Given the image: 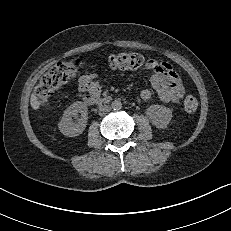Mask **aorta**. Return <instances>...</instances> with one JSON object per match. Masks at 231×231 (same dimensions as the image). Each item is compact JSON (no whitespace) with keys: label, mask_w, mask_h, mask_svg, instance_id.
<instances>
[{"label":"aorta","mask_w":231,"mask_h":231,"mask_svg":"<svg viewBox=\"0 0 231 231\" xmlns=\"http://www.w3.org/2000/svg\"><path fill=\"white\" fill-rule=\"evenodd\" d=\"M111 107L114 110H119L122 107V103H121L120 100H115V101L112 102Z\"/></svg>","instance_id":"obj_1"}]
</instances>
